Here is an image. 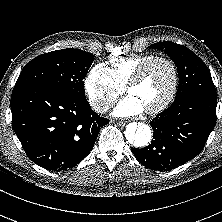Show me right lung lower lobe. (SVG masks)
Returning a JSON list of instances; mask_svg holds the SVG:
<instances>
[{
	"label": "right lung lower lobe",
	"instance_id": "98d812e1",
	"mask_svg": "<svg viewBox=\"0 0 222 222\" xmlns=\"http://www.w3.org/2000/svg\"><path fill=\"white\" fill-rule=\"evenodd\" d=\"M10 106L13 130L27 156L52 171L78 164L109 123L86 97L44 86L14 87Z\"/></svg>",
	"mask_w": 222,
	"mask_h": 222
}]
</instances>
